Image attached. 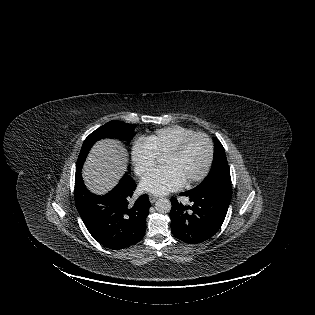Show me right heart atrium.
Here are the masks:
<instances>
[{
	"label": "right heart atrium",
	"instance_id": "right-heart-atrium-1",
	"mask_svg": "<svg viewBox=\"0 0 315 315\" xmlns=\"http://www.w3.org/2000/svg\"><path fill=\"white\" fill-rule=\"evenodd\" d=\"M131 160L136 174L143 177L155 166L157 155L146 139H140L132 146Z\"/></svg>",
	"mask_w": 315,
	"mask_h": 315
}]
</instances>
